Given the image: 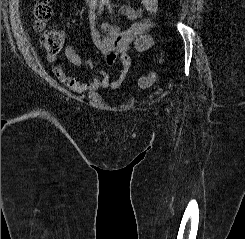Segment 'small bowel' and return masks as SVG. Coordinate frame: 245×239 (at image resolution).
<instances>
[{"label":"small bowel","mask_w":245,"mask_h":239,"mask_svg":"<svg viewBox=\"0 0 245 239\" xmlns=\"http://www.w3.org/2000/svg\"><path fill=\"white\" fill-rule=\"evenodd\" d=\"M142 9H134L128 6L121 7V13L128 19H138L142 12L154 13L157 11V0H141ZM90 35L94 46L105 57L108 66L119 64V72L116 78L110 79L104 71H98L90 82H83L68 74L61 64L53 66L56 77L70 90L76 93L93 91L100 88L118 89L126 79L130 70V57L128 50L134 45L138 51H145L152 45V39L147 31L150 27L149 20L134 23L127 30L107 23L98 25L95 13L89 15ZM63 37V35H61ZM64 54L71 64L76 67L93 68L90 60H83L71 45L64 46ZM59 59L58 53L48 54L47 61L51 64Z\"/></svg>","instance_id":"c3829d8e"}]
</instances>
